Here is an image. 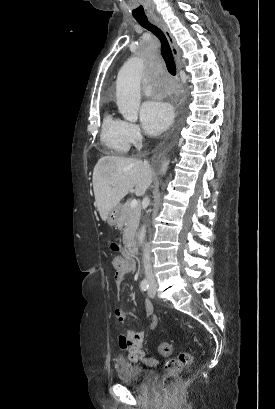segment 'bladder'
<instances>
[{
    "mask_svg": "<svg viewBox=\"0 0 275 409\" xmlns=\"http://www.w3.org/2000/svg\"><path fill=\"white\" fill-rule=\"evenodd\" d=\"M116 380L124 385H131L135 388L148 387L157 378V373L151 369H146L129 361L117 363Z\"/></svg>",
    "mask_w": 275,
    "mask_h": 409,
    "instance_id": "bladder-1",
    "label": "bladder"
}]
</instances>
